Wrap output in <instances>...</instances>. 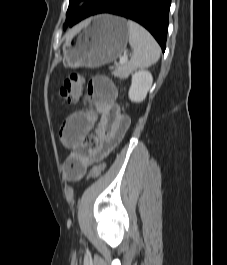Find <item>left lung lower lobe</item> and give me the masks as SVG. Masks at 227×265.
<instances>
[{
  "instance_id": "0a47b994",
  "label": "left lung lower lobe",
  "mask_w": 227,
  "mask_h": 265,
  "mask_svg": "<svg viewBox=\"0 0 227 265\" xmlns=\"http://www.w3.org/2000/svg\"><path fill=\"white\" fill-rule=\"evenodd\" d=\"M170 4L171 0H106L92 15L110 13L138 22L154 36L164 52Z\"/></svg>"
}]
</instances>
